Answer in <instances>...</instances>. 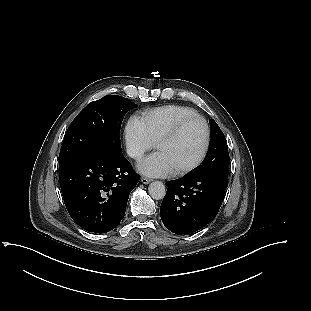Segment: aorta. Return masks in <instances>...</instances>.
I'll return each mask as SVG.
<instances>
[{"instance_id":"obj_1","label":"aorta","mask_w":311,"mask_h":311,"mask_svg":"<svg viewBox=\"0 0 311 311\" xmlns=\"http://www.w3.org/2000/svg\"><path fill=\"white\" fill-rule=\"evenodd\" d=\"M149 195L155 200H161L166 194L165 185L161 181H154L148 187Z\"/></svg>"}]
</instances>
